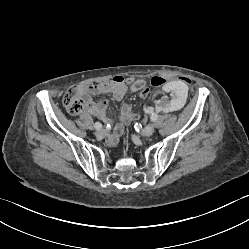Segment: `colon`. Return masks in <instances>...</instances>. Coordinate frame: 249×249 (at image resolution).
I'll use <instances>...</instances> for the list:
<instances>
[{
	"label": "colon",
	"instance_id": "5ec220e1",
	"mask_svg": "<svg viewBox=\"0 0 249 249\" xmlns=\"http://www.w3.org/2000/svg\"><path fill=\"white\" fill-rule=\"evenodd\" d=\"M189 82L190 80L187 79ZM166 83V79L161 76H155L151 79V85L154 87L161 86ZM149 90L145 89L142 93V97L148 95ZM62 103L65 109L72 115H77L81 113L87 104L84 94L78 88L68 89L62 98Z\"/></svg>",
	"mask_w": 249,
	"mask_h": 249
}]
</instances>
